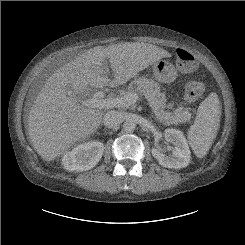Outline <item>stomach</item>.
<instances>
[{
	"label": "stomach",
	"instance_id": "0dacf381",
	"mask_svg": "<svg viewBox=\"0 0 245 245\" xmlns=\"http://www.w3.org/2000/svg\"><path fill=\"white\" fill-rule=\"evenodd\" d=\"M153 75L160 83H171L177 77L176 68L166 60H158L153 65Z\"/></svg>",
	"mask_w": 245,
	"mask_h": 245
}]
</instances>
